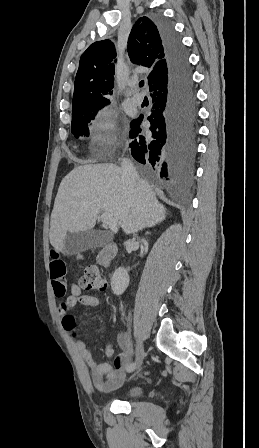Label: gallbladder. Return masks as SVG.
Returning <instances> with one entry per match:
<instances>
[{
    "instance_id": "gallbladder-1",
    "label": "gallbladder",
    "mask_w": 259,
    "mask_h": 448,
    "mask_svg": "<svg viewBox=\"0 0 259 448\" xmlns=\"http://www.w3.org/2000/svg\"><path fill=\"white\" fill-rule=\"evenodd\" d=\"M112 240L110 232L88 230V232H69L66 236L64 250L69 256L86 252L90 248H104Z\"/></svg>"
}]
</instances>
